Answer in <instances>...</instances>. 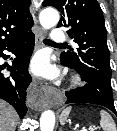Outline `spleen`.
Segmentation results:
<instances>
[{"label": "spleen", "mask_w": 117, "mask_h": 131, "mask_svg": "<svg viewBox=\"0 0 117 131\" xmlns=\"http://www.w3.org/2000/svg\"><path fill=\"white\" fill-rule=\"evenodd\" d=\"M70 111H71V107H68V108L63 110V112L60 116L61 124H64V122L67 119ZM100 116H101L100 126L103 129V131H117L115 122L108 112L101 110Z\"/></svg>", "instance_id": "obj_1"}]
</instances>
